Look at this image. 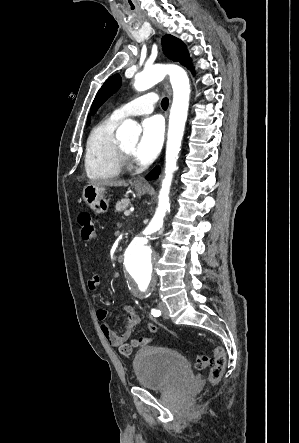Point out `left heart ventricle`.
<instances>
[{"instance_id":"obj_1","label":"left heart ventricle","mask_w":299,"mask_h":443,"mask_svg":"<svg viewBox=\"0 0 299 443\" xmlns=\"http://www.w3.org/2000/svg\"><path fill=\"white\" fill-rule=\"evenodd\" d=\"M124 148L134 156L137 140L123 143Z\"/></svg>"}]
</instances>
